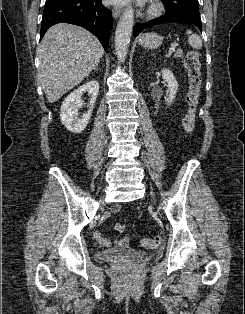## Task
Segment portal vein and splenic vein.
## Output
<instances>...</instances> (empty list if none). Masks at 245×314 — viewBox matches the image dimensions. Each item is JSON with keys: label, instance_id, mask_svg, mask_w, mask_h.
I'll return each instance as SVG.
<instances>
[{"label": "portal vein and splenic vein", "instance_id": "1", "mask_svg": "<svg viewBox=\"0 0 245 314\" xmlns=\"http://www.w3.org/2000/svg\"><path fill=\"white\" fill-rule=\"evenodd\" d=\"M177 46H178V43H176V42L171 45V47L169 48V51H168L169 56L176 50Z\"/></svg>", "mask_w": 245, "mask_h": 314}]
</instances>
